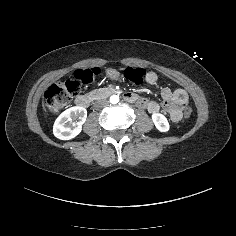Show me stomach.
<instances>
[{"label":"stomach","mask_w":236,"mask_h":236,"mask_svg":"<svg viewBox=\"0 0 236 236\" xmlns=\"http://www.w3.org/2000/svg\"><path fill=\"white\" fill-rule=\"evenodd\" d=\"M107 76L110 77L111 79H118L119 78V72L115 69L109 68L106 70Z\"/></svg>","instance_id":"stomach-1"}]
</instances>
